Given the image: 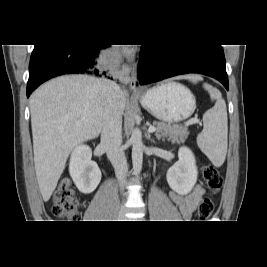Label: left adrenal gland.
I'll return each mask as SVG.
<instances>
[{
	"instance_id": "1",
	"label": "left adrenal gland",
	"mask_w": 267,
	"mask_h": 267,
	"mask_svg": "<svg viewBox=\"0 0 267 267\" xmlns=\"http://www.w3.org/2000/svg\"><path fill=\"white\" fill-rule=\"evenodd\" d=\"M148 139L155 143V140L154 139H151L150 138V135L148 136Z\"/></svg>"
}]
</instances>
